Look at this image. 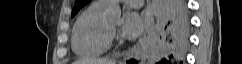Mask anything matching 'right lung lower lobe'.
Masks as SVG:
<instances>
[{"label": "right lung lower lobe", "mask_w": 242, "mask_h": 64, "mask_svg": "<svg viewBox=\"0 0 242 64\" xmlns=\"http://www.w3.org/2000/svg\"><path fill=\"white\" fill-rule=\"evenodd\" d=\"M160 11L162 17L167 21L165 28L167 29V40L169 44L176 49L182 48L186 34V13L183 8L181 0H161ZM173 54H170L168 58H162L159 63H170V59ZM136 60L127 61V64H136Z\"/></svg>", "instance_id": "1"}]
</instances>
